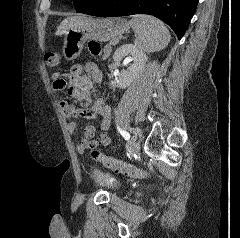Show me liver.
Here are the masks:
<instances>
[{
    "label": "liver",
    "instance_id": "obj_1",
    "mask_svg": "<svg viewBox=\"0 0 240 238\" xmlns=\"http://www.w3.org/2000/svg\"><path fill=\"white\" fill-rule=\"evenodd\" d=\"M86 19L84 16H74L64 19L58 26L56 35L65 34L67 30L79 27Z\"/></svg>",
    "mask_w": 240,
    "mask_h": 238
}]
</instances>
